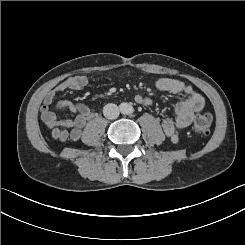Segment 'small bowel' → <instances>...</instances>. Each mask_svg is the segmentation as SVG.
<instances>
[{
	"label": "small bowel",
	"instance_id": "small-bowel-1",
	"mask_svg": "<svg viewBox=\"0 0 245 245\" xmlns=\"http://www.w3.org/2000/svg\"><path fill=\"white\" fill-rule=\"evenodd\" d=\"M87 83L88 79L86 76H72L60 82L45 95L40 109L41 120L51 130L53 138L60 141L79 140L82 128L95 116V114L82 103H73L67 100L55 102V97L59 93L66 90H82ZM155 87L161 92H169L185 97V99L177 103L175 107L176 117L174 119L165 118L162 121L164 134L171 142L177 143L179 141L180 132L188 127L192 123L194 115L203 109L205 104L204 97L192 86L173 78H160L156 81ZM135 101L138 104L146 106L152 103L149 97L142 95H136ZM52 107L56 109L67 108L75 113L76 116L74 118H58L51 110Z\"/></svg>",
	"mask_w": 245,
	"mask_h": 245
}]
</instances>
